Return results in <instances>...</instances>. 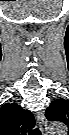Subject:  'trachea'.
<instances>
[{
    "mask_svg": "<svg viewBox=\"0 0 69 135\" xmlns=\"http://www.w3.org/2000/svg\"><path fill=\"white\" fill-rule=\"evenodd\" d=\"M28 133L30 135H41V132L38 128L34 129V130H31V131H28Z\"/></svg>",
    "mask_w": 69,
    "mask_h": 135,
    "instance_id": "trachea-1",
    "label": "trachea"
}]
</instances>
